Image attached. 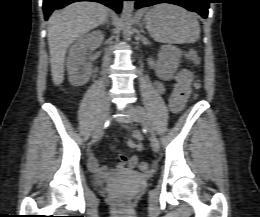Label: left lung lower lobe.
Returning a JSON list of instances; mask_svg holds the SVG:
<instances>
[{
	"label": "left lung lower lobe",
	"instance_id": "0a47b994",
	"mask_svg": "<svg viewBox=\"0 0 260 217\" xmlns=\"http://www.w3.org/2000/svg\"><path fill=\"white\" fill-rule=\"evenodd\" d=\"M136 1L135 8L148 7L159 3H171L182 6L190 11H195L203 18L208 16L210 0H133Z\"/></svg>",
	"mask_w": 260,
	"mask_h": 217
}]
</instances>
